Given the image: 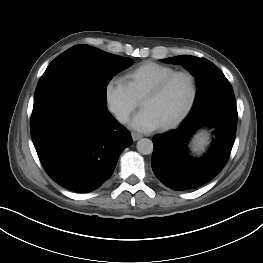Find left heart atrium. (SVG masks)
Masks as SVG:
<instances>
[{
    "label": "left heart atrium",
    "instance_id": "39dd6f15",
    "mask_svg": "<svg viewBox=\"0 0 263 263\" xmlns=\"http://www.w3.org/2000/svg\"><path fill=\"white\" fill-rule=\"evenodd\" d=\"M129 124L132 128L142 132H150L161 126L154 114L144 108L131 119Z\"/></svg>",
    "mask_w": 263,
    "mask_h": 263
}]
</instances>
